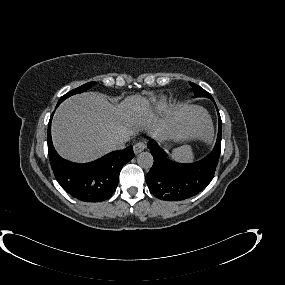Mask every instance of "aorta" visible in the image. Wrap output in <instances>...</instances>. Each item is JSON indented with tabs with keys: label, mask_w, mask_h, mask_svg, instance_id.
Segmentation results:
<instances>
[{
	"label": "aorta",
	"mask_w": 285,
	"mask_h": 285,
	"mask_svg": "<svg viewBox=\"0 0 285 285\" xmlns=\"http://www.w3.org/2000/svg\"><path fill=\"white\" fill-rule=\"evenodd\" d=\"M154 159L150 152H141L137 156V163L144 169H150L153 165Z\"/></svg>",
	"instance_id": "762f6f07"
}]
</instances>
